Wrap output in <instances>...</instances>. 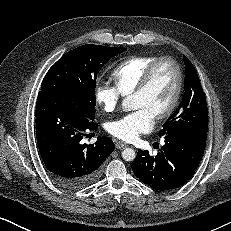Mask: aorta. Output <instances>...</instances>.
<instances>
[{
	"mask_svg": "<svg viewBox=\"0 0 231 231\" xmlns=\"http://www.w3.org/2000/svg\"><path fill=\"white\" fill-rule=\"evenodd\" d=\"M122 105H123V108L125 110L130 111V110L134 109V106H133L131 99L129 97H127L123 100ZM135 157H136V153L132 148H125L122 151V158L125 161H133L135 159Z\"/></svg>",
	"mask_w": 231,
	"mask_h": 231,
	"instance_id": "1",
	"label": "aorta"
}]
</instances>
